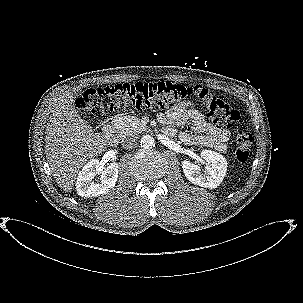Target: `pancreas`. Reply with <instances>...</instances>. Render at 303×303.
I'll return each instance as SVG.
<instances>
[{
    "instance_id": "obj_1",
    "label": "pancreas",
    "mask_w": 303,
    "mask_h": 303,
    "mask_svg": "<svg viewBox=\"0 0 303 303\" xmlns=\"http://www.w3.org/2000/svg\"><path fill=\"white\" fill-rule=\"evenodd\" d=\"M119 137H124L132 133H141L146 130V125L134 116H122L116 119L114 123Z\"/></svg>"
}]
</instances>
